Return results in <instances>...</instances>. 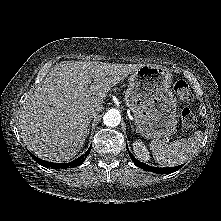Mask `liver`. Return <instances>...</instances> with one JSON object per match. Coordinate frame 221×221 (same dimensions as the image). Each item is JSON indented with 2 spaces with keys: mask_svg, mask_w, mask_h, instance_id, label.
Here are the masks:
<instances>
[{
  "mask_svg": "<svg viewBox=\"0 0 221 221\" xmlns=\"http://www.w3.org/2000/svg\"><path fill=\"white\" fill-rule=\"evenodd\" d=\"M141 66L92 61L57 65L22 107L23 143L37 157L51 162L72 159L86 139L88 110H101L107 92Z\"/></svg>",
  "mask_w": 221,
  "mask_h": 221,
  "instance_id": "liver-1",
  "label": "liver"
}]
</instances>
